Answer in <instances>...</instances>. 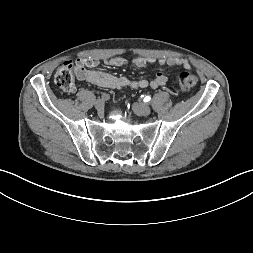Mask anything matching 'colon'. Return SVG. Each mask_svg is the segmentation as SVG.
Listing matches in <instances>:
<instances>
[{
    "label": "colon",
    "mask_w": 253,
    "mask_h": 253,
    "mask_svg": "<svg viewBox=\"0 0 253 253\" xmlns=\"http://www.w3.org/2000/svg\"><path fill=\"white\" fill-rule=\"evenodd\" d=\"M77 65L72 61L65 62L55 74L56 85L65 92H73L75 86V73ZM177 83L183 90L193 88L197 83V77L191 72H182L177 76Z\"/></svg>",
    "instance_id": "obj_1"
}]
</instances>
